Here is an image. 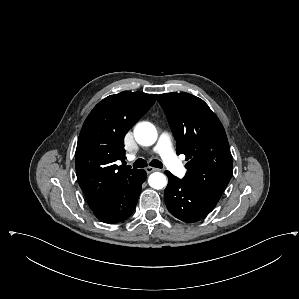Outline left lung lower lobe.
I'll list each match as a JSON object with an SVG mask.
<instances>
[{"label":"left lung lower lobe","mask_w":299,"mask_h":299,"mask_svg":"<svg viewBox=\"0 0 299 299\" xmlns=\"http://www.w3.org/2000/svg\"><path fill=\"white\" fill-rule=\"evenodd\" d=\"M164 200L169 212L183 222H196L205 218L217 205L212 197L175 177L169 171Z\"/></svg>","instance_id":"left-lung-lower-lobe-1"}]
</instances>
